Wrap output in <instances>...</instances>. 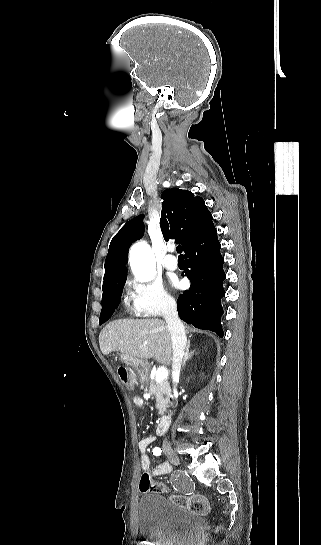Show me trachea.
I'll use <instances>...</instances> for the list:
<instances>
[{
    "instance_id": "trachea-1",
    "label": "trachea",
    "mask_w": 321,
    "mask_h": 545,
    "mask_svg": "<svg viewBox=\"0 0 321 545\" xmlns=\"http://www.w3.org/2000/svg\"><path fill=\"white\" fill-rule=\"evenodd\" d=\"M176 251L177 253H179V258H184L183 255H182V247L179 245L177 248H176Z\"/></svg>"
}]
</instances>
